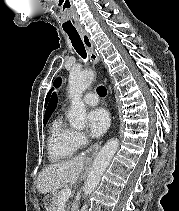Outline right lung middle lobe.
<instances>
[{"instance_id": "1", "label": "right lung middle lobe", "mask_w": 179, "mask_h": 211, "mask_svg": "<svg viewBox=\"0 0 179 211\" xmlns=\"http://www.w3.org/2000/svg\"><path fill=\"white\" fill-rule=\"evenodd\" d=\"M49 118H44V125H46Z\"/></svg>"}]
</instances>
